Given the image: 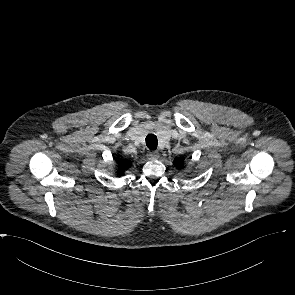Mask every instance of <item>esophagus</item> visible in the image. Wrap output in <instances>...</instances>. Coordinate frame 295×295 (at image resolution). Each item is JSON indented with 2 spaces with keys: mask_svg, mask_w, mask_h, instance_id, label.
Returning <instances> with one entry per match:
<instances>
[{
  "mask_svg": "<svg viewBox=\"0 0 295 295\" xmlns=\"http://www.w3.org/2000/svg\"><path fill=\"white\" fill-rule=\"evenodd\" d=\"M147 157L150 160H155V159L159 158V153L157 151H150L147 153Z\"/></svg>",
  "mask_w": 295,
  "mask_h": 295,
  "instance_id": "esophagus-1",
  "label": "esophagus"
}]
</instances>
